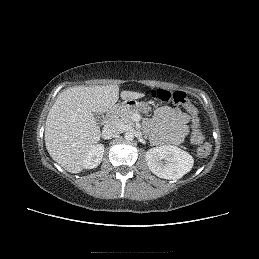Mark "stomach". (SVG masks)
Masks as SVG:
<instances>
[{"label":"stomach","instance_id":"stomach-1","mask_svg":"<svg viewBox=\"0 0 259 259\" xmlns=\"http://www.w3.org/2000/svg\"><path fill=\"white\" fill-rule=\"evenodd\" d=\"M122 107L134 108V109H137V110H139L141 112H144V113H147L150 110V107H149L148 103L142 102V101L139 102V101H136L135 99L125 100L122 103Z\"/></svg>","mask_w":259,"mask_h":259}]
</instances>
